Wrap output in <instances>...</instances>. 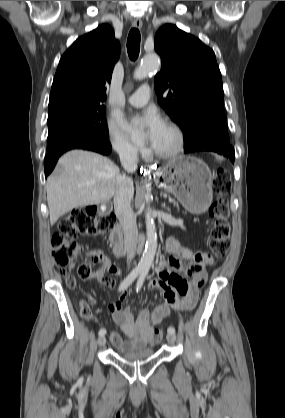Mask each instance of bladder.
Wrapping results in <instances>:
<instances>
[{
  "label": "bladder",
  "mask_w": 285,
  "mask_h": 418,
  "mask_svg": "<svg viewBox=\"0 0 285 418\" xmlns=\"http://www.w3.org/2000/svg\"><path fill=\"white\" fill-rule=\"evenodd\" d=\"M117 355L124 359V360H130V361H135V360H144L147 359L149 357H151L153 355V349L151 348H146V349H138V348H134V349H130L124 352H117Z\"/></svg>",
  "instance_id": "31cf9c89"
}]
</instances>
